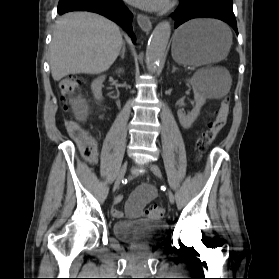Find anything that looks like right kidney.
<instances>
[{"label":"right kidney","instance_id":"right-kidney-1","mask_svg":"<svg viewBox=\"0 0 279 279\" xmlns=\"http://www.w3.org/2000/svg\"><path fill=\"white\" fill-rule=\"evenodd\" d=\"M123 72L122 69L118 70V73ZM105 80V75H102L100 77H98L97 79H95L92 84H91V90L93 92L94 98L98 101L102 100V86H103V82Z\"/></svg>","mask_w":279,"mask_h":279}]
</instances>
